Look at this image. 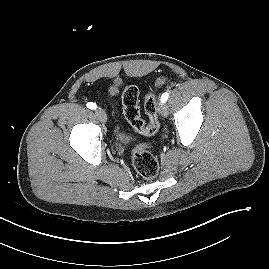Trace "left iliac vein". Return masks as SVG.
<instances>
[{
	"mask_svg": "<svg viewBox=\"0 0 269 269\" xmlns=\"http://www.w3.org/2000/svg\"><path fill=\"white\" fill-rule=\"evenodd\" d=\"M159 111H160V115L162 117H167L168 116V107H167V105L164 102H162L160 104Z\"/></svg>",
	"mask_w": 269,
	"mask_h": 269,
	"instance_id": "4c4485c4",
	"label": "left iliac vein"
}]
</instances>
